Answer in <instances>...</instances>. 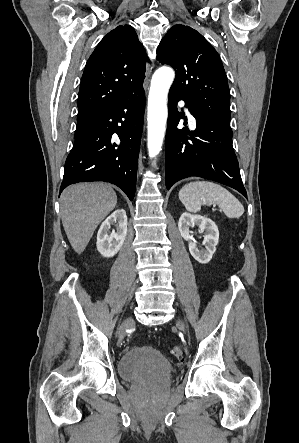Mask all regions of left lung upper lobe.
<instances>
[{"instance_id":"left-lung-upper-lobe-1","label":"left lung upper lobe","mask_w":299,"mask_h":443,"mask_svg":"<svg viewBox=\"0 0 299 443\" xmlns=\"http://www.w3.org/2000/svg\"><path fill=\"white\" fill-rule=\"evenodd\" d=\"M157 59L175 69L169 92L197 111L230 125V92L223 64L199 32L189 26L174 25L161 40Z\"/></svg>"}]
</instances>
